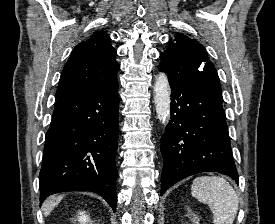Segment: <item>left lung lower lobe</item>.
Segmentation results:
<instances>
[{
    "mask_svg": "<svg viewBox=\"0 0 275 224\" xmlns=\"http://www.w3.org/2000/svg\"><path fill=\"white\" fill-rule=\"evenodd\" d=\"M171 120L161 137V195L179 180L219 172L238 183L222 95L189 81H169Z\"/></svg>",
    "mask_w": 275,
    "mask_h": 224,
    "instance_id": "1",
    "label": "left lung lower lobe"
}]
</instances>
